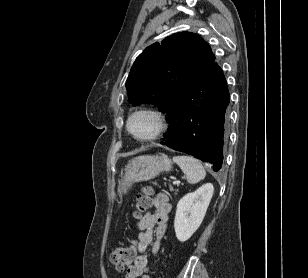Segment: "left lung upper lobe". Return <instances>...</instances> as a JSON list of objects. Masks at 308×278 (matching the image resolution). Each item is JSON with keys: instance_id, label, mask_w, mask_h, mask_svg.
Wrapping results in <instances>:
<instances>
[{"instance_id": "left-lung-upper-lobe-1", "label": "left lung upper lobe", "mask_w": 308, "mask_h": 278, "mask_svg": "<svg viewBox=\"0 0 308 278\" xmlns=\"http://www.w3.org/2000/svg\"><path fill=\"white\" fill-rule=\"evenodd\" d=\"M215 62L198 34L176 33L147 47L135 60L126 81L133 106L152 103L166 113L185 87Z\"/></svg>"}]
</instances>
